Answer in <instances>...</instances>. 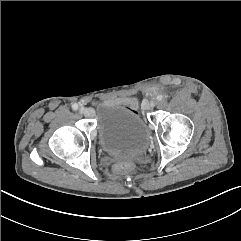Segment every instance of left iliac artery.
Listing matches in <instances>:
<instances>
[{"label":"left iliac artery","instance_id":"44dca946","mask_svg":"<svg viewBox=\"0 0 241 241\" xmlns=\"http://www.w3.org/2000/svg\"><path fill=\"white\" fill-rule=\"evenodd\" d=\"M156 99H157L158 101H161V100L163 99V96H162V95H157Z\"/></svg>","mask_w":241,"mask_h":241}]
</instances>
